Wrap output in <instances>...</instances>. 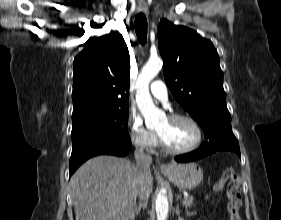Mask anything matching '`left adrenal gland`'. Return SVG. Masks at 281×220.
Masks as SVG:
<instances>
[{"mask_svg": "<svg viewBox=\"0 0 281 220\" xmlns=\"http://www.w3.org/2000/svg\"><path fill=\"white\" fill-rule=\"evenodd\" d=\"M176 213H177V214H179V213H180L179 208H176Z\"/></svg>", "mask_w": 281, "mask_h": 220, "instance_id": "left-adrenal-gland-1", "label": "left adrenal gland"}]
</instances>
